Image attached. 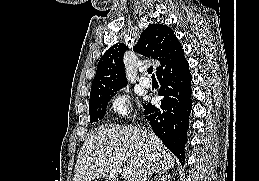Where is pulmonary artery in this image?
Returning a JSON list of instances; mask_svg holds the SVG:
<instances>
[{"mask_svg": "<svg viewBox=\"0 0 259 181\" xmlns=\"http://www.w3.org/2000/svg\"><path fill=\"white\" fill-rule=\"evenodd\" d=\"M139 83L144 88H150L151 84H152L151 80H149L148 78H145V77H140Z\"/></svg>", "mask_w": 259, "mask_h": 181, "instance_id": "e3ab8cb5", "label": "pulmonary artery"}]
</instances>
